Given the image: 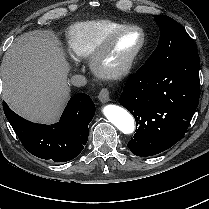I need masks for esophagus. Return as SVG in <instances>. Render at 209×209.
Returning <instances> with one entry per match:
<instances>
[{"label": "esophagus", "instance_id": "obj_1", "mask_svg": "<svg viewBox=\"0 0 209 209\" xmlns=\"http://www.w3.org/2000/svg\"><path fill=\"white\" fill-rule=\"evenodd\" d=\"M98 98L102 103L110 101V92L107 88H102L98 94Z\"/></svg>", "mask_w": 209, "mask_h": 209}]
</instances>
